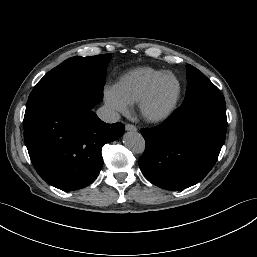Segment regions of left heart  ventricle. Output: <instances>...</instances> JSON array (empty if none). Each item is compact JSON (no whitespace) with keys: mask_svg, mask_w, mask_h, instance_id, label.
Wrapping results in <instances>:
<instances>
[{"mask_svg":"<svg viewBox=\"0 0 257 257\" xmlns=\"http://www.w3.org/2000/svg\"><path fill=\"white\" fill-rule=\"evenodd\" d=\"M178 92V82L172 77H166L158 86L154 97L147 107L151 115H159L165 112L173 103Z\"/></svg>","mask_w":257,"mask_h":257,"instance_id":"1","label":"left heart ventricle"}]
</instances>
